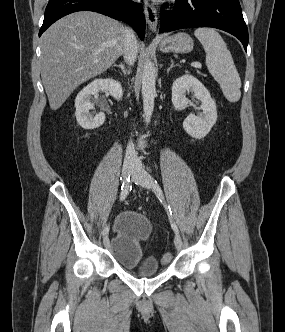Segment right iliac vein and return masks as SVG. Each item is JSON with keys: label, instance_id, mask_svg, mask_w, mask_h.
Returning <instances> with one entry per match:
<instances>
[{"label": "right iliac vein", "instance_id": "right-iliac-vein-1", "mask_svg": "<svg viewBox=\"0 0 285 332\" xmlns=\"http://www.w3.org/2000/svg\"><path fill=\"white\" fill-rule=\"evenodd\" d=\"M133 166L132 165H124L122 168V177H123V181H125L127 179V177L133 172ZM103 244L105 247H108L109 245V237L106 234L103 238Z\"/></svg>", "mask_w": 285, "mask_h": 332}]
</instances>
